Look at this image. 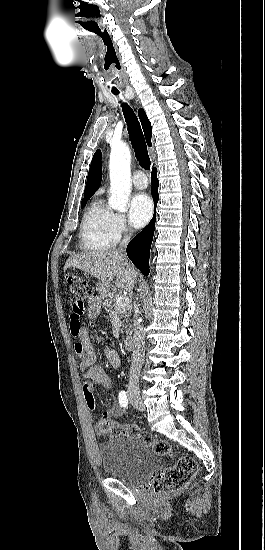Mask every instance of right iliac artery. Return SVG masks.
Returning <instances> with one entry per match:
<instances>
[{
    "label": "right iliac artery",
    "mask_w": 265,
    "mask_h": 550,
    "mask_svg": "<svg viewBox=\"0 0 265 550\" xmlns=\"http://www.w3.org/2000/svg\"><path fill=\"white\" fill-rule=\"evenodd\" d=\"M119 403L122 407L127 408L128 407V399L125 391H121L118 396Z\"/></svg>",
    "instance_id": "right-iliac-artery-1"
}]
</instances>
